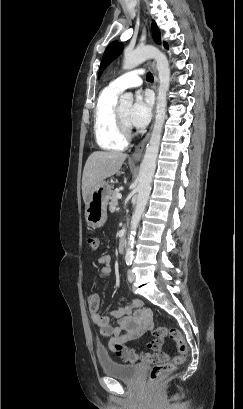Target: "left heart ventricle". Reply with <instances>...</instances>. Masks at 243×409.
Returning a JSON list of instances; mask_svg holds the SVG:
<instances>
[{"mask_svg": "<svg viewBox=\"0 0 243 409\" xmlns=\"http://www.w3.org/2000/svg\"><path fill=\"white\" fill-rule=\"evenodd\" d=\"M130 108L131 106L129 104L119 106L120 116L122 117V119L124 120L126 124H128L127 119H128Z\"/></svg>", "mask_w": 243, "mask_h": 409, "instance_id": "obj_1", "label": "left heart ventricle"}]
</instances>
